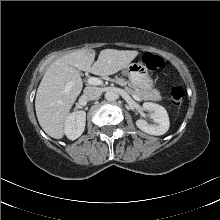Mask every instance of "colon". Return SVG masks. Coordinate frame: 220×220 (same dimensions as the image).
Segmentation results:
<instances>
[{
    "instance_id": "obj_1",
    "label": "colon",
    "mask_w": 220,
    "mask_h": 220,
    "mask_svg": "<svg viewBox=\"0 0 220 220\" xmlns=\"http://www.w3.org/2000/svg\"><path fill=\"white\" fill-rule=\"evenodd\" d=\"M143 63L152 72H157L163 69L165 65L163 58L153 53H146L143 56ZM183 97L184 90L181 86H174L170 89L169 99L173 105H180Z\"/></svg>"
}]
</instances>
